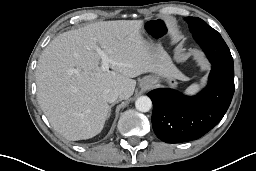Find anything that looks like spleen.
Masks as SVG:
<instances>
[{
	"instance_id": "spleen-1",
	"label": "spleen",
	"mask_w": 256,
	"mask_h": 171,
	"mask_svg": "<svg viewBox=\"0 0 256 171\" xmlns=\"http://www.w3.org/2000/svg\"><path fill=\"white\" fill-rule=\"evenodd\" d=\"M199 84L198 83H193L186 89L187 94H194L196 91L199 89Z\"/></svg>"
}]
</instances>
